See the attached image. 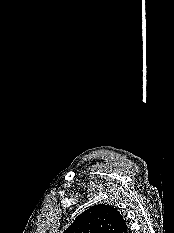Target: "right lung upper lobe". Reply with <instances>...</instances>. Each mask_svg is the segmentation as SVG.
<instances>
[{
    "label": "right lung upper lobe",
    "mask_w": 174,
    "mask_h": 233,
    "mask_svg": "<svg viewBox=\"0 0 174 233\" xmlns=\"http://www.w3.org/2000/svg\"><path fill=\"white\" fill-rule=\"evenodd\" d=\"M123 216L114 207L98 204L81 213L63 233H127Z\"/></svg>",
    "instance_id": "cb5924a9"
}]
</instances>
